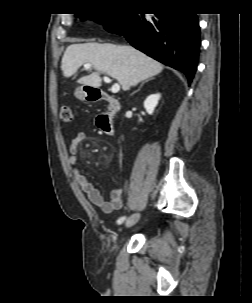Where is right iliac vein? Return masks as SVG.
I'll use <instances>...</instances> for the list:
<instances>
[{"label": "right iliac vein", "mask_w": 252, "mask_h": 303, "mask_svg": "<svg viewBox=\"0 0 252 303\" xmlns=\"http://www.w3.org/2000/svg\"><path fill=\"white\" fill-rule=\"evenodd\" d=\"M140 219V215L139 214H134L131 215L126 221H125V226L127 228L132 227L133 225H135Z\"/></svg>", "instance_id": "63e3f726"}]
</instances>
